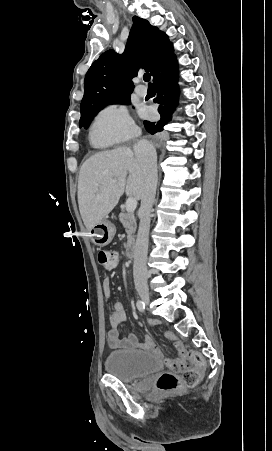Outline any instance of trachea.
I'll return each instance as SVG.
<instances>
[{
  "instance_id": "trachea-1",
  "label": "trachea",
  "mask_w": 272,
  "mask_h": 451,
  "mask_svg": "<svg viewBox=\"0 0 272 451\" xmlns=\"http://www.w3.org/2000/svg\"><path fill=\"white\" fill-rule=\"evenodd\" d=\"M144 81L145 82H149L150 81V74L149 73H145L143 75ZM149 85H151V83H149Z\"/></svg>"
}]
</instances>
